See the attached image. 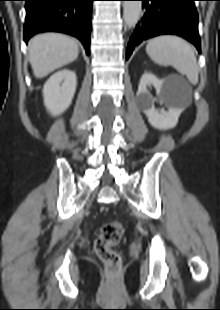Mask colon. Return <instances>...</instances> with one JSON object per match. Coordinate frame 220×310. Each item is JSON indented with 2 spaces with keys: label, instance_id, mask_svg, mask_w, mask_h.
<instances>
[{
  "label": "colon",
  "instance_id": "colon-1",
  "mask_svg": "<svg viewBox=\"0 0 220 310\" xmlns=\"http://www.w3.org/2000/svg\"><path fill=\"white\" fill-rule=\"evenodd\" d=\"M122 237V224L118 221L101 226L94 248L98 257L106 264L110 274H117L122 265L121 256L114 250Z\"/></svg>",
  "mask_w": 220,
  "mask_h": 310
}]
</instances>
